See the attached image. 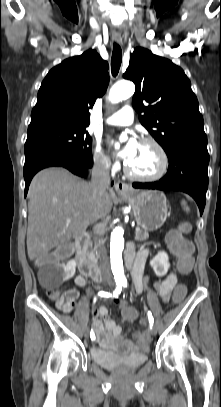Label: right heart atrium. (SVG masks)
<instances>
[{
  "label": "right heart atrium",
  "mask_w": 221,
  "mask_h": 407,
  "mask_svg": "<svg viewBox=\"0 0 221 407\" xmlns=\"http://www.w3.org/2000/svg\"><path fill=\"white\" fill-rule=\"evenodd\" d=\"M94 165L97 169L107 172L114 171L118 167V163L113 162L101 149L99 145L96 146L93 154Z\"/></svg>",
  "instance_id": "obj_1"
}]
</instances>
